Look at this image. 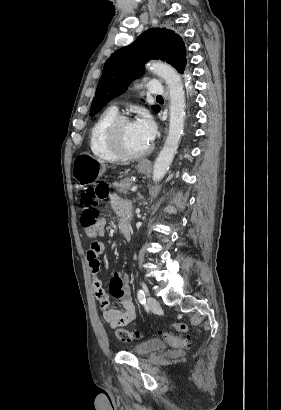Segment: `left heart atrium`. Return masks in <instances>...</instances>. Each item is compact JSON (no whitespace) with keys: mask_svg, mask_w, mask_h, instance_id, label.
I'll return each mask as SVG.
<instances>
[{"mask_svg":"<svg viewBox=\"0 0 281 410\" xmlns=\"http://www.w3.org/2000/svg\"><path fill=\"white\" fill-rule=\"evenodd\" d=\"M133 124L142 140L149 145L156 134V124L150 114L141 111Z\"/></svg>","mask_w":281,"mask_h":410,"instance_id":"left-heart-atrium-1","label":"left heart atrium"}]
</instances>
